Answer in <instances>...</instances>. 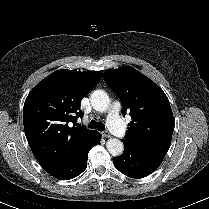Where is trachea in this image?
I'll return each instance as SVG.
<instances>
[{"mask_svg":"<svg viewBox=\"0 0 209 209\" xmlns=\"http://www.w3.org/2000/svg\"><path fill=\"white\" fill-rule=\"evenodd\" d=\"M89 128L97 129L98 131H103L105 130V125L102 122H96L95 120H92L89 123Z\"/></svg>","mask_w":209,"mask_h":209,"instance_id":"1","label":"trachea"}]
</instances>
